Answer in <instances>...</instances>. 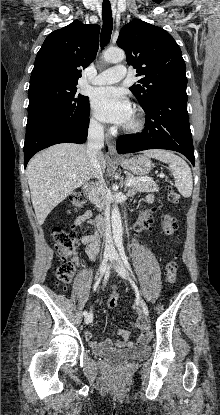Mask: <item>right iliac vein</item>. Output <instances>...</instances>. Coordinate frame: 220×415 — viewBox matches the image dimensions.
I'll return each instance as SVG.
<instances>
[{"instance_id":"1","label":"right iliac vein","mask_w":220,"mask_h":415,"mask_svg":"<svg viewBox=\"0 0 220 415\" xmlns=\"http://www.w3.org/2000/svg\"><path fill=\"white\" fill-rule=\"evenodd\" d=\"M109 255H110V252H106L104 254L103 259L101 260V263H100V266H99V269H98V273H99L100 276H102L105 272L106 262H107V259H108ZM92 320H93V314L92 313H89L84 319L86 324L91 323Z\"/></svg>"}]
</instances>
